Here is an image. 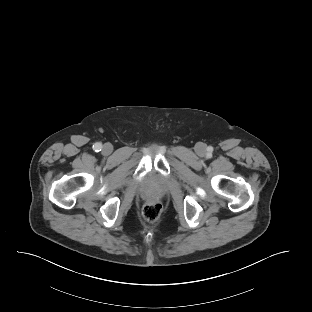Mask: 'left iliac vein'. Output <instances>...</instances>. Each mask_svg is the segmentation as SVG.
<instances>
[{
  "instance_id": "1",
  "label": "left iliac vein",
  "mask_w": 312,
  "mask_h": 312,
  "mask_svg": "<svg viewBox=\"0 0 312 312\" xmlns=\"http://www.w3.org/2000/svg\"><path fill=\"white\" fill-rule=\"evenodd\" d=\"M196 152H197V154H199V155H203L204 154V152H205V146L203 145V144H198L197 146H196Z\"/></svg>"
}]
</instances>
